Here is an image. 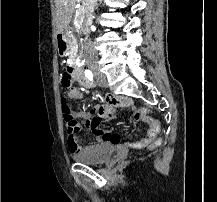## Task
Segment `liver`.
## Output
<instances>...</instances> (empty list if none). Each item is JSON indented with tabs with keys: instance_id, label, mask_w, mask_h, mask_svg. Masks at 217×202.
I'll return each instance as SVG.
<instances>
[{
	"instance_id": "1",
	"label": "liver",
	"mask_w": 217,
	"mask_h": 202,
	"mask_svg": "<svg viewBox=\"0 0 217 202\" xmlns=\"http://www.w3.org/2000/svg\"><path fill=\"white\" fill-rule=\"evenodd\" d=\"M76 2L77 0H55L57 14V34H64L65 30H67L74 14Z\"/></svg>"
}]
</instances>
